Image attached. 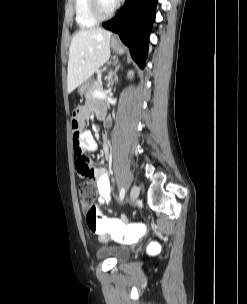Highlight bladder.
Segmentation results:
<instances>
[{"label": "bladder", "mask_w": 247, "mask_h": 304, "mask_svg": "<svg viewBox=\"0 0 247 304\" xmlns=\"http://www.w3.org/2000/svg\"><path fill=\"white\" fill-rule=\"evenodd\" d=\"M99 258H113L122 260L128 255V250L124 247H102L96 252Z\"/></svg>", "instance_id": "1"}]
</instances>
